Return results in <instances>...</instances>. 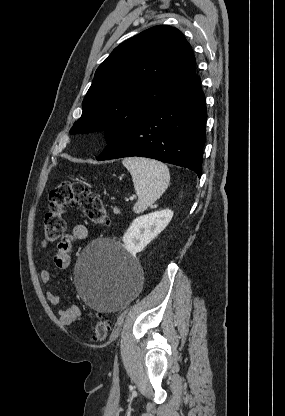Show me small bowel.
I'll return each mask as SVG.
<instances>
[{"label":"small bowel","instance_id":"1","mask_svg":"<svg viewBox=\"0 0 285 416\" xmlns=\"http://www.w3.org/2000/svg\"><path fill=\"white\" fill-rule=\"evenodd\" d=\"M88 236V228L84 224H77L74 226L72 232L63 237L58 243L56 252L53 258L54 264L59 269H65L69 266L73 245ZM51 272L44 269L40 273L42 283L47 284L51 281ZM47 300L52 305H60L61 297L53 290L47 291ZM82 313L76 304H71L66 307H60L58 310V320L62 325H72L81 319Z\"/></svg>","mask_w":285,"mask_h":416}]
</instances>
